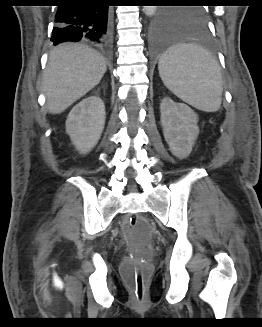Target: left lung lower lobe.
Segmentation results:
<instances>
[{
  "instance_id": "left-lung-lower-lobe-1",
  "label": "left lung lower lobe",
  "mask_w": 262,
  "mask_h": 327,
  "mask_svg": "<svg viewBox=\"0 0 262 327\" xmlns=\"http://www.w3.org/2000/svg\"><path fill=\"white\" fill-rule=\"evenodd\" d=\"M184 26L172 22L167 14L162 12L158 20L152 25L149 32V47L152 53L167 51L180 40L182 34H190L194 41L203 46H208L210 37L205 25L194 26L190 30H183Z\"/></svg>"
}]
</instances>
